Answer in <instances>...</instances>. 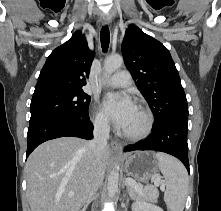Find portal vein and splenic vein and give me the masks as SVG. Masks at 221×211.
Listing matches in <instances>:
<instances>
[{
    "label": "portal vein and splenic vein",
    "mask_w": 221,
    "mask_h": 211,
    "mask_svg": "<svg viewBox=\"0 0 221 211\" xmlns=\"http://www.w3.org/2000/svg\"><path fill=\"white\" fill-rule=\"evenodd\" d=\"M152 181L154 182V184L156 186H159L161 184V177H154L152 179ZM125 183L133 188H135L137 191H139L141 194H143V190H142V186L138 185L136 183V181H134L131 178H126Z\"/></svg>",
    "instance_id": "18ae733b"
}]
</instances>
